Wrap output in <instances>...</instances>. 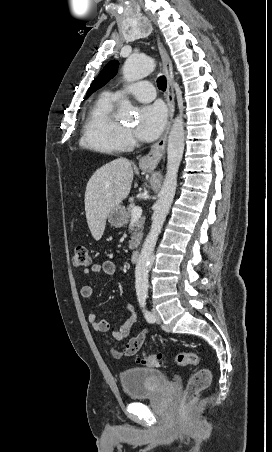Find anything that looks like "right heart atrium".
Listing matches in <instances>:
<instances>
[{
    "instance_id": "right-heart-atrium-1",
    "label": "right heart atrium",
    "mask_w": 272,
    "mask_h": 452,
    "mask_svg": "<svg viewBox=\"0 0 272 452\" xmlns=\"http://www.w3.org/2000/svg\"><path fill=\"white\" fill-rule=\"evenodd\" d=\"M123 139L126 148L133 146L135 143L133 133L129 129H123Z\"/></svg>"
}]
</instances>
